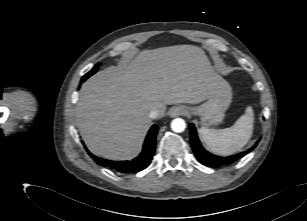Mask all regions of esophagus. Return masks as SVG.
<instances>
[{"label":"esophagus","instance_id":"obj_1","mask_svg":"<svg viewBox=\"0 0 307 221\" xmlns=\"http://www.w3.org/2000/svg\"><path fill=\"white\" fill-rule=\"evenodd\" d=\"M187 109L184 106H176L169 110V115L171 117L183 116L187 114Z\"/></svg>","mask_w":307,"mask_h":221}]
</instances>
